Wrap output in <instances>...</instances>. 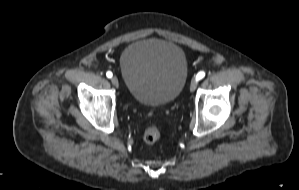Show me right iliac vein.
Returning a JSON list of instances; mask_svg holds the SVG:
<instances>
[{
    "mask_svg": "<svg viewBox=\"0 0 299 190\" xmlns=\"http://www.w3.org/2000/svg\"><path fill=\"white\" fill-rule=\"evenodd\" d=\"M111 83L114 85V86H118V78L116 76H113L111 78Z\"/></svg>",
    "mask_w": 299,
    "mask_h": 190,
    "instance_id": "right-iliac-vein-1",
    "label": "right iliac vein"
}]
</instances>
